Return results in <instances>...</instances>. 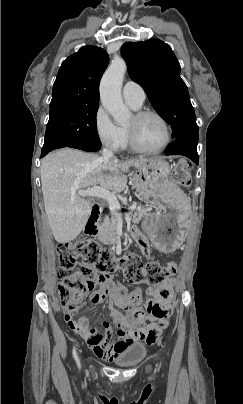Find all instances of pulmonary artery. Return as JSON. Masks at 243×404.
Listing matches in <instances>:
<instances>
[{"instance_id": "pulmonary-artery-1", "label": "pulmonary artery", "mask_w": 243, "mask_h": 404, "mask_svg": "<svg viewBox=\"0 0 243 404\" xmlns=\"http://www.w3.org/2000/svg\"><path fill=\"white\" fill-rule=\"evenodd\" d=\"M122 95L126 102L141 106L145 100V92L142 86L132 80H128L122 87Z\"/></svg>"}]
</instances>
